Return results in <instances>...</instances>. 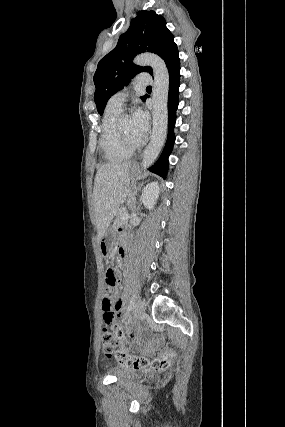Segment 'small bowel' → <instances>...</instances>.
Wrapping results in <instances>:
<instances>
[{
    "instance_id": "1",
    "label": "small bowel",
    "mask_w": 285,
    "mask_h": 427,
    "mask_svg": "<svg viewBox=\"0 0 285 427\" xmlns=\"http://www.w3.org/2000/svg\"><path fill=\"white\" fill-rule=\"evenodd\" d=\"M124 309V302L122 301L119 290L117 287L113 288V290L105 294L102 298L101 302V310L103 312L104 322L107 325H112L113 322L107 319L108 315L111 314H122Z\"/></svg>"
}]
</instances>
